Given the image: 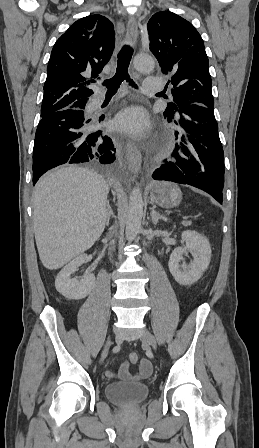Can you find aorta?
<instances>
[{"mask_svg":"<svg viewBox=\"0 0 259 448\" xmlns=\"http://www.w3.org/2000/svg\"><path fill=\"white\" fill-rule=\"evenodd\" d=\"M137 71L150 73L154 69V60L151 56L145 54L136 55L133 61ZM143 216V198L139 187H135L129 199L127 212L125 236L127 241H133L141 230Z\"/></svg>","mask_w":259,"mask_h":448,"instance_id":"aorta-1","label":"aorta"}]
</instances>
